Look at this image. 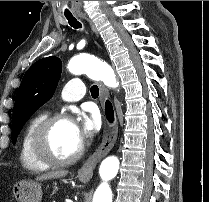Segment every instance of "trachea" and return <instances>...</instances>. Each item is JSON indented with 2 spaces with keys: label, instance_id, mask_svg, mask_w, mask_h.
<instances>
[{
  "label": "trachea",
  "instance_id": "obj_1",
  "mask_svg": "<svg viewBox=\"0 0 209 202\" xmlns=\"http://www.w3.org/2000/svg\"><path fill=\"white\" fill-rule=\"evenodd\" d=\"M66 18L71 27L75 29L81 28L82 26L81 23L78 22L75 17H73L72 15H66ZM90 92H91V96L94 99H96L99 96V88L96 85L91 86Z\"/></svg>",
  "mask_w": 209,
  "mask_h": 202
}]
</instances>
